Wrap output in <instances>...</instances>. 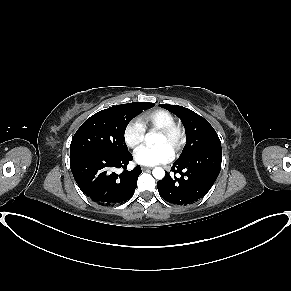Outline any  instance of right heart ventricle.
Wrapping results in <instances>:
<instances>
[{
	"mask_svg": "<svg viewBox=\"0 0 291 291\" xmlns=\"http://www.w3.org/2000/svg\"><path fill=\"white\" fill-rule=\"evenodd\" d=\"M138 120L145 129L156 130L175 123L174 115L165 109L144 112L139 116Z\"/></svg>",
	"mask_w": 291,
	"mask_h": 291,
	"instance_id": "right-heart-ventricle-1",
	"label": "right heart ventricle"
}]
</instances>
